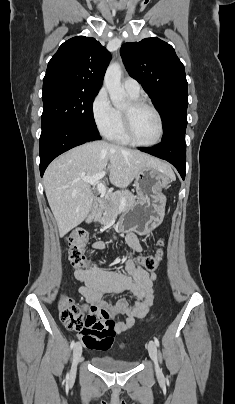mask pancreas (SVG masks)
<instances>
[{
	"label": "pancreas",
	"mask_w": 235,
	"mask_h": 404,
	"mask_svg": "<svg viewBox=\"0 0 235 404\" xmlns=\"http://www.w3.org/2000/svg\"><path fill=\"white\" fill-rule=\"evenodd\" d=\"M135 203V196L129 191H122L112 195L107 200L106 208L98 209L95 220L103 225L110 224L119 211L128 208Z\"/></svg>",
	"instance_id": "obj_1"
}]
</instances>
